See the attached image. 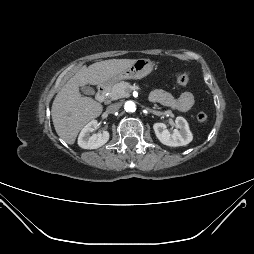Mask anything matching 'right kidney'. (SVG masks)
Instances as JSON below:
<instances>
[{
    "label": "right kidney",
    "instance_id": "obj_1",
    "mask_svg": "<svg viewBox=\"0 0 254 254\" xmlns=\"http://www.w3.org/2000/svg\"><path fill=\"white\" fill-rule=\"evenodd\" d=\"M98 127L97 120L90 121L80 132L78 137V145L83 149H97L103 146L109 140V133L103 131L102 133L92 134Z\"/></svg>",
    "mask_w": 254,
    "mask_h": 254
}]
</instances>
